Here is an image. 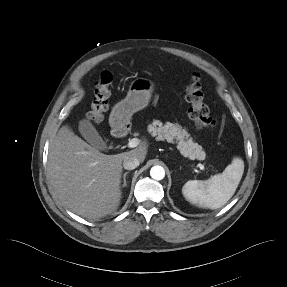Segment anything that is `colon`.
Instances as JSON below:
<instances>
[{"label": "colon", "instance_id": "5ec220e1", "mask_svg": "<svg viewBox=\"0 0 287 287\" xmlns=\"http://www.w3.org/2000/svg\"><path fill=\"white\" fill-rule=\"evenodd\" d=\"M112 75L102 72L95 82L94 99L87 119L92 122H101L109 107L110 87ZM185 98L189 103L188 114L198 128L213 130L217 121L211 116L209 106L205 102L199 74H192L185 87Z\"/></svg>", "mask_w": 287, "mask_h": 287}]
</instances>
